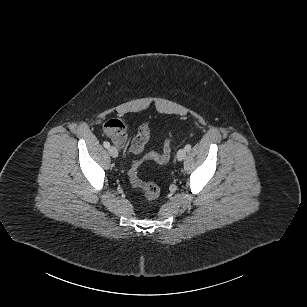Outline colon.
<instances>
[{
    "mask_svg": "<svg viewBox=\"0 0 307 307\" xmlns=\"http://www.w3.org/2000/svg\"><path fill=\"white\" fill-rule=\"evenodd\" d=\"M172 141L167 138L164 142L162 153L150 152L140 159L134 160L128 171V177L131 185L141 190L147 200L156 199L160 194L159 187L151 182L142 181L139 178L138 170L143 160H152L160 164L167 163L171 156Z\"/></svg>",
    "mask_w": 307,
    "mask_h": 307,
    "instance_id": "colon-1",
    "label": "colon"
}]
</instances>
